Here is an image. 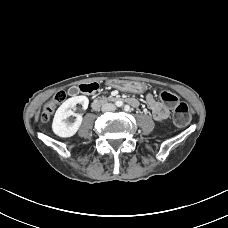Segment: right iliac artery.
Here are the masks:
<instances>
[{"mask_svg":"<svg viewBox=\"0 0 228 228\" xmlns=\"http://www.w3.org/2000/svg\"><path fill=\"white\" fill-rule=\"evenodd\" d=\"M115 104H116L117 107H121L123 105V102L122 101H117Z\"/></svg>","mask_w":228,"mask_h":228,"instance_id":"obj_1","label":"right iliac artery"}]
</instances>
